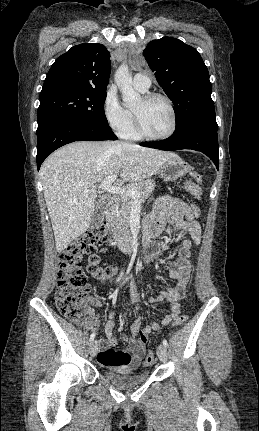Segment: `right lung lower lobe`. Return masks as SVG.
Returning <instances> with one entry per match:
<instances>
[{
  "label": "right lung lower lobe",
  "mask_w": 259,
  "mask_h": 431,
  "mask_svg": "<svg viewBox=\"0 0 259 431\" xmlns=\"http://www.w3.org/2000/svg\"><path fill=\"white\" fill-rule=\"evenodd\" d=\"M37 168L59 147L74 141L116 140L108 125H98L74 118H57L37 129Z\"/></svg>",
  "instance_id": "98d812e1"
}]
</instances>
